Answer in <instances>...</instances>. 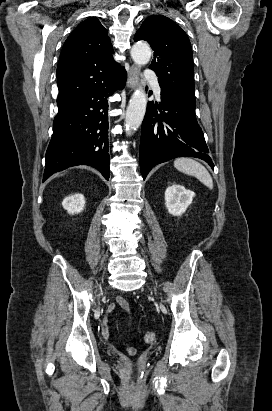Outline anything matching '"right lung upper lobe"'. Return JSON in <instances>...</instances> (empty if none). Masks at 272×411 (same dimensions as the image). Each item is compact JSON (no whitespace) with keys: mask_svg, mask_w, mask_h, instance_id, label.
Masks as SVG:
<instances>
[{"mask_svg":"<svg viewBox=\"0 0 272 411\" xmlns=\"http://www.w3.org/2000/svg\"><path fill=\"white\" fill-rule=\"evenodd\" d=\"M108 31L96 17L80 23L65 41L57 67V105L110 82L121 69L112 56Z\"/></svg>","mask_w":272,"mask_h":411,"instance_id":"cb5924a9","label":"right lung upper lobe"}]
</instances>
